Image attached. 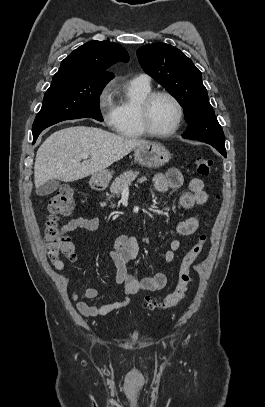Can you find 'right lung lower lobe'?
<instances>
[{
  "instance_id": "right-lung-lower-lobe-1",
  "label": "right lung lower lobe",
  "mask_w": 265,
  "mask_h": 407,
  "mask_svg": "<svg viewBox=\"0 0 265 407\" xmlns=\"http://www.w3.org/2000/svg\"><path fill=\"white\" fill-rule=\"evenodd\" d=\"M37 138L33 137L34 142L36 141Z\"/></svg>"
}]
</instances>
